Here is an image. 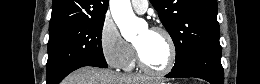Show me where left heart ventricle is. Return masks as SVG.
Returning a JSON list of instances; mask_svg holds the SVG:
<instances>
[{
    "mask_svg": "<svg viewBox=\"0 0 260 84\" xmlns=\"http://www.w3.org/2000/svg\"><path fill=\"white\" fill-rule=\"evenodd\" d=\"M135 45L139 48L144 62L153 69H163L169 59V46L162 34L143 31Z\"/></svg>",
    "mask_w": 260,
    "mask_h": 84,
    "instance_id": "1",
    "label": "left heart ventricle"
}]
</instances>
